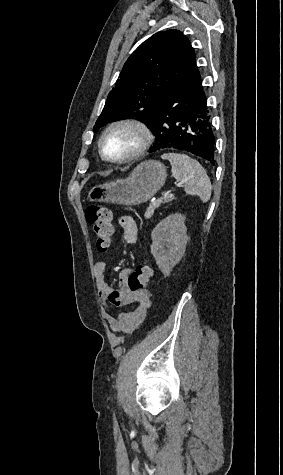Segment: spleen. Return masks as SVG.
Wrapping results in <instances>:
<instances>
[{
	"instance_id": "3e777b00",
	"label": "spleen",
	"mask_w": 283,
	"mask_h": 475,
	"mask_svg": "<svg viewBox=\"0 0 283 475\" xmlns=\"http://www.w3.org/2000/svg\"><path fill=\"white\" fill-rule=\"evenodd\" d=\"M161 158L169 160L172 176L184 184L186 194L199 196L203 204L210 200L211 182L197 160H192L186 154H163Z\"/></svg>"
}]
</instances>
